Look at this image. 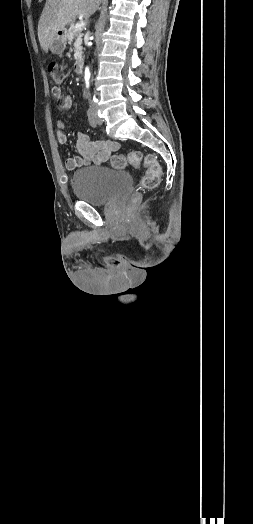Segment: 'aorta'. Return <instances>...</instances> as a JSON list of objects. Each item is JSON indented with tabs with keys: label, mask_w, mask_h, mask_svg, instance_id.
<instances>
[{
	"label": "aorta",
	"mask_w": 253,
	"mask_h": 524,
	"mask_svg": "<svg viewBox=\"0 0 253 524\" xmlns=\"http://www.w3.org/2000/svg\"><path fill=\"white\" fill-rule=\"evenodd\" d=\"M89 79H90V71H89V68H86L85 69V81L87 85L89 84Z\"/></svg>",
	"instance_id": "obj_1"
}]
</instances>
